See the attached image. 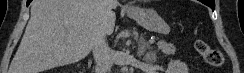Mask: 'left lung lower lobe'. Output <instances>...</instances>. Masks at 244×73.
Wrapping results in <instances>:
<instances>
[{"mask_svg":"<svg viewBox=\"0 0 244 73\" xmlns=\"http://www.w3.org/2000/svg\"><path fill=\"white\" fill-rule=\"evenodd\" d=\"M201 2L206 4L207 6H209L212 9L215 8L214 0H201Z\"/></svg>","mask_w":244,"mask_h":73,"instance_id":"1","label":"left lung lower lobe"}]
</instances>
